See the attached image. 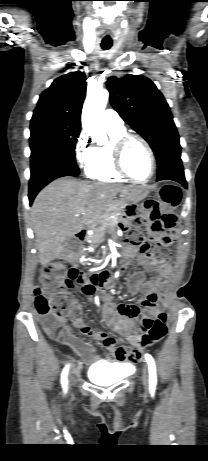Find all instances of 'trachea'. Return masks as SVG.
I'll use <instances>...</instances> for the list:
<instances>
[{
  "mask_svg": "<svg viewBox=\"0 0 208 461\" xmlns=\"http://www.w3.org/2000/svg\"><path fill=\"white\" fill-rule=\"evenodd\" d=\"M111 46H112V44H108V43H102L101 44V47H102L103 50H108V49L111 48Z\"/></svg>",
  "mask_w": 208,
  "mask_h": 461,
  "instance_id": "3493384b",
  "label": "trachea"
}]
</instances>
